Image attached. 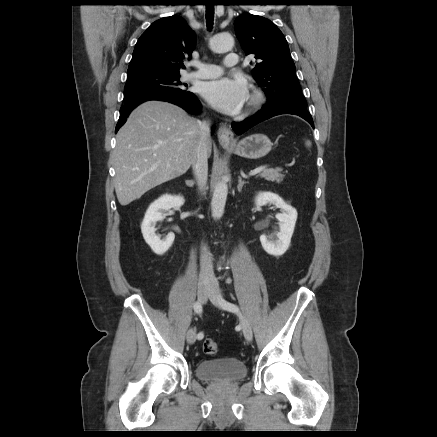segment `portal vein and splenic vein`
I'll return each mask as SVG.
<instances>
[{
	"mask_svg": "<svg viewBox=\"0 0 437 437\" xmlns=\"http://www.w3.org/2000/svg\"><path fill=\"white\" fill-rule=\"evenodd\" d=\"M264 169H265V166L258 167V168H256V169L252 170V171L249 173V175H250V176H254V175H256V174L262 172Z\"/></svg>",
	"mask_w": 437,
	"mask_h": 437,
	"instance_id": "18ae733b",
	"label": "portal vein and splenic vein"
}]
</instances>
